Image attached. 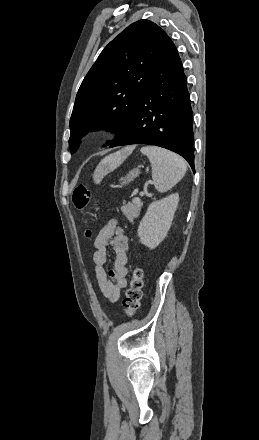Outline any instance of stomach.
I'll use <instances>...</instances> for the list:
<instances>
[{
    "label": "stomach",
    "instance_id": "1",
    "mask_svg": "<svg viewBox=\"0 0 259 440\" xmlns=\"http://www.w3.org/2000/svg\"><path fill=\"white\" fill-rule=\"evenodd\" d=\"M139 173L140 171L138 168L130 171L125 177L121 178V186L127 185L132 182L139 175Z\"/></svg>",
    "mask_w": 259,
    "mask_h": 440
}]
</instances>
